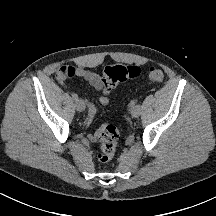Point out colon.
Masks as SVG:
<instances>
[{"label": "colon", "mask_w": 216, "mask_h": 216, "mask_svg": "<svg viewBox=\"0 0 216 216\" xmlns=\"http://www.w3.org/2000/svg\"><path fill=\"white\" fill-rule=\"evenodd\" d=\"M141 69L136 65H109L101 73V81L105 90L111 92L119 83L137 77ZM76 75V70L71 66H62L56 78L65 81ZM148 77L154 83H161L164 73L157 67H150ZM119 140V131L114 125H104L96 132V141L99 143L100 151L97 155L101 163L109 162L115 155Z\"/></svg>", "instance_id": "colon-1"}]
</instances>
